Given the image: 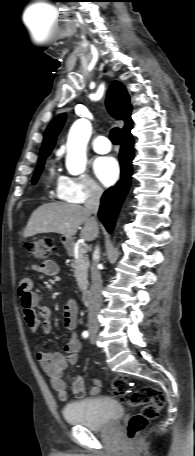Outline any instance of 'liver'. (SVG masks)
<instances>
[{"instance_id":"6515ba94","label":"liver","mask_w":195,"mask_h":456,"mask_svg":"<svg viewBox=\"0 0 195 456\" xmlns=\"http://www.w3.org/2000/svg\"><path fill=\"white\" fill-rule=\"evenodd\" d=\"M82 224L84 227L80 237L93 241L99 234V226L85 207L68 203H47L32 213L23 234L27 238L40 233H58L71 238Z\"/></svg>"}]
</instances>
